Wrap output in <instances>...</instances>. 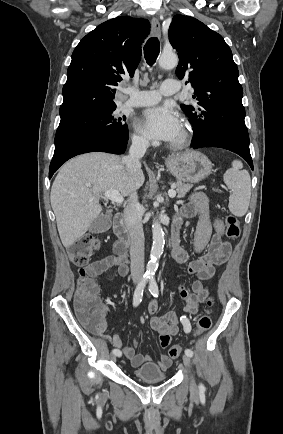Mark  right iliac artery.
I'll return each instance as SVG.
<instances>
[{
  "mask_svg": "<svg viewBox=\"0 0 283 434\" xmlns=\"http://www.w3.org/2000/svg\"><path fill=\"white\" fill-rule=\"evenodd\" d=\"M147 280H148V277L144 276L135 289L134 296H133V306L134 307H137L142 300L143 291H144L145 285L147 283ZM112 353L118 357L121 356V352L118 349H113Z\"/></svg>",
  "mask_w": 283,
  "mask_h": 434,
  "instance_id": "82829eb1",
  "label": "right iliac artery"
}]
</instances>
